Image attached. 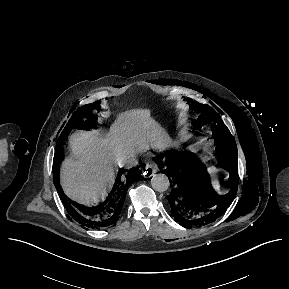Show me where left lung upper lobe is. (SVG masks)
Wrapping results in <instances>:
<instances>
[{"instance_id":"left-lung-upper-lobe-1","label":"left lung upper lobe","mask_w":289,"mask_h":289,"mask_svg":"<svg viewBox=\"0 0 289 289\" xmlns=\"http://www.w3.org/2000/svg\"><path fill=\"white\" fill-rule=\"evenodd\" d=\"M189 107L194 111L196 117L192 120L193 129L211 124L212 138L216 144V154L219 157L220 165L229 167L235 164L238 156L236 143L220 115L207 105L193 103Z\"/></svg>"}]
</instances>
